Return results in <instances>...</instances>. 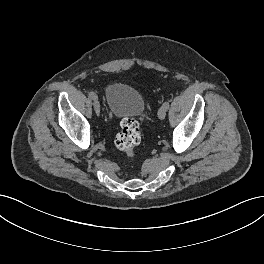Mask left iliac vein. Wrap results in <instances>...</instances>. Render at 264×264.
<instances>
[{
  "label": "left iliac vein",
  "instance_id": "obj_1",
  "mask_svg": "<svg viewBox=\"0 0 264 264\" xmlns=\"http://www.w3.org/2000/svg\"><path fill=\"white\" fill-rule=\"evenodd\" d=\"M166 108L162 105L158 110V118L163 120L166 117Z\"/></svg>",
  "mask_w": 264,
  "mask_h": 264
}]
</instances>
